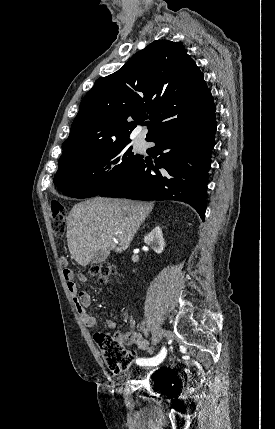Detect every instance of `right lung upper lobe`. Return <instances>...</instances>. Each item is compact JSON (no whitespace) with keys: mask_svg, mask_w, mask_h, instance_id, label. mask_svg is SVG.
<instances>
[{"mask_svg":"<svg viewBox=\"0 0 275 429\" xmlns=\"http://www.w3.org/2000/svg\"><path fill=\"white\" fill-rule=\"evenodd\" d=\"M216 107L204 76L178 42L157 40L121 69L99 78L83 98L58 167L88 152L129 140L150 120L149 140L158 132L197 120Z\"/></svg>","mask_w":275,"mask_h":429,"instance_id":"cb5924a9","label":"right lung upper lobe"}]
</instances>
